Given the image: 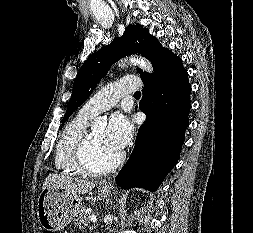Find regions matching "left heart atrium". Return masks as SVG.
<instances>
[{
    "label": "left heart atrium",
    "mask_w": 253,
    "mask_h": 233,
    "mask_svg": "<svg viewBox=\"0 0 253 233\" xmlns=\"http://www.w3.org/2000/svg\"><path fill=\"white\" fill-rule=\"evenodd\" d=\"M132 135V125L127 117L114 114L105 130V142L114 150L120 152L128 144Z\"/></svg>",
    "instance_id": "obj_1"
}]
</instances>
